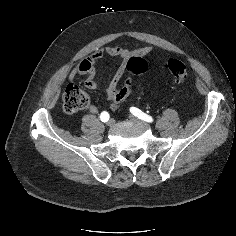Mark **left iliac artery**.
Returning <instances> with one entry per match:
<instances>
[{"label": "left iliac artery", "mask_w": 236, "mask_h": 236, "mask_svg": "<svg viewBox=\"0 0 236 236\" xmlns=\"http://www.w3.org/2000/svg\"><path fill=\"white\" fill-rule=\"evenodd\" d=\"M130 111L133 115H135L136 117H138L139 119L146 121V122H153V118L147 114H145L144 112H142L140 109L136 108V107H131Z\"/></svg>", "instance_id": "left-iliac-artery-1"}]
</instances>
